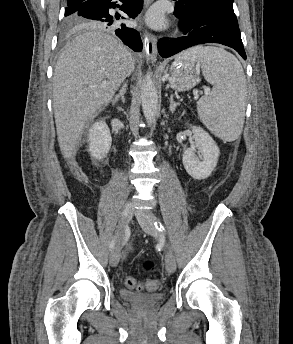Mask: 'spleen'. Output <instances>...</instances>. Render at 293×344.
<instances>
[{
    "instance_id": "obj_1",
    "label": "spleen",
    "mask_w": 293,
    "mask_h": 344,
    "mask_svg": "<svg viewBox=\"0 0 293 344\" xmlns=\"http://www.w3.org/2000/svg\"><path fill=\"white\" fill-rule=\"evenodd\" d=\"M178 57L200 63L213 85L209 96L197 102L202 123L216 136L233 141L242 132L246 104V79L238 59L217 47H193Z\"/></svg>"
}]
</instances>
